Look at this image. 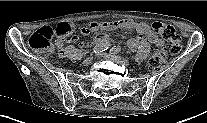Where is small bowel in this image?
Listing matches in <instances>:
<instances>
[{"mask_svg":"<svg viewBox=\"0 0 207 123\" xmlns=\"http://www.w3.org/2000/svg\"><path fill=\"white\" fill-rule=\"evenodd\" d=\"M117 29H125L135 31L139 34L136 38H131L127 42V46L130 50L136 51L140 46L144 45L146 41L150 42L154 46L160 48L163 46V40L150 28L145 22H134L130 19H123L112 22H93L88 26L80 29L81 35H88L90 33H99L95 38V43H107L108 36L103 31H115ZM77 37L69 42H75ZM64 41L58 40L56 42L57 47L60 50V55H64Z\"/></svg>","mask_w":207,"mask_h":123,"instance_id":"small-bowel-1","label":"small bowel"}]
</instances>
